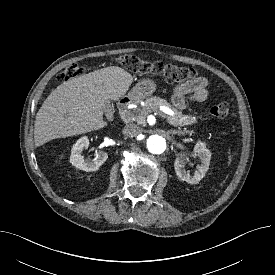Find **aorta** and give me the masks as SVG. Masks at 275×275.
I'll list each match as a JSON object with an SVG mask.
<instances>
[{
  "label": "aorta",
  "instance_id": "aorta-1",
  "mask_svg": "<svg viewBox=\"0 0 275 275\" xmlns=\"http://www.w3.org/2000/svg\"><path fill=\"white\" fill-rule=\"evenodd\" d=\"M146 144L148 151L152 154H162L166 150V141L159 135H151Z\"/></svg>",
  "mask_w": 275,
  "mask_h": 275
}]
</instances>
